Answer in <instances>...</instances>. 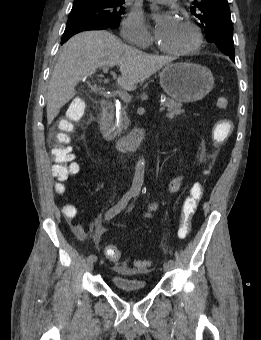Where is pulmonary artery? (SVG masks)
<instances>
[{"instance_id":"1","label":"pulmonary artery","mask_w":261,"mask_h":340,"mask_svg":"<svg viewBox=\"0 0 261 340\" xmlns=\"http://www.w3.org/2000/svg\"><path fill=\"white\" fill-rule=\"evenodd\" d=\"M149 1H152V2H155V3H160V4H167V3L173 2L175 0H149Z\"/></svg>"}]
</instances>
